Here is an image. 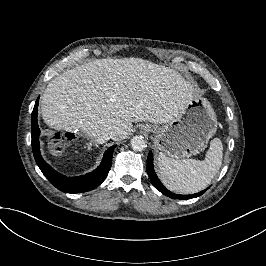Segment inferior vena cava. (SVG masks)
Segmentation results:
<instances>
[{
    "mask_svg": "<svg viewBox=\"0 0 266 266\" xmlns=\"http://www.w3.org/2000/svg\"><path fill=\"white\" fill-rule=\"evenodd\" d=\"M114 134H115L114 131L102 130V131L96 132L93 139L95 140V142L101 144L111 139Z\"/></svg>",
    "mask_w": 266,
    "mask_h": 266,
    "instance_id": "602c4592",
    "label": "inferior vena cava"
}]
</instances>
